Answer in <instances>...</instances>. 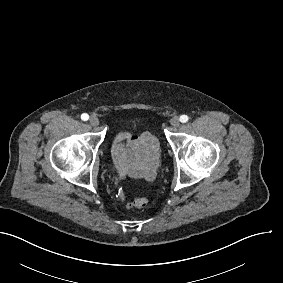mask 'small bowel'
<instances>
[{
	"mask_svg": "<svg viewBox=\"0 0 283 283\" xmlns=\"http://www.w3.org/2000/svg\"><path fill=\"white\" fill-rule=\"evenodd\" d=\"M123 140H127L130 148H135L145 142L152 144L156 143L155 137L148 132H144L139 136H132L127 132H120L117 134L112 147V158L115 168L121 177L127 176L130 169V164L119 146V143ZM151 176L152 172L147 173V177Z\"/></svg>",
	"mask_w": 283,
	"mask_h": 283,
	"instance_id": "small-bowel-1",
	"label": "small bowel"
}]
</instances>
